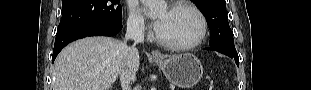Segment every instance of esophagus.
I'll use <instances>...</instances> for the list:
<instances>
[{
  "instance_id": "obj_1",
  "label": "esophagus",
  "mask_w": 311,
  "mask_h": 90,
  "mask_svg": "<svg viewBox=\"0 0 311 90\" xmlns=\"http://www.w3.org/2000/svg\"><path fill=\"white\" fill-rule=\"evenodd\" d=\"M151 55H152L153 58H157V59L161 58V53L158 50H153L151 52Z\"/></svg>"
}]
</instances>
